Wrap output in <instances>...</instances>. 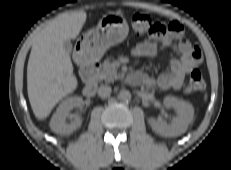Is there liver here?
Returning <instances> with one entry per match:
<instances>
[{
  "mask_svg": "<svg viewBox=\"0 0 231 170\" xmlns=\"http://www.w3.org/2000/svg\"><path fill=\"white\" fill-rule=\"evenodd\" d=\"M86 18L82 10L61 14L34 37L27 66V91L37 119L48 117L55 105L78 86L63 43L79 35Z\"/></svg>",
  "mask_w": 231,
  "mask_h": 170,
  "instance_id": "obj_1",
  "label": "liver"
}]
</instances>
